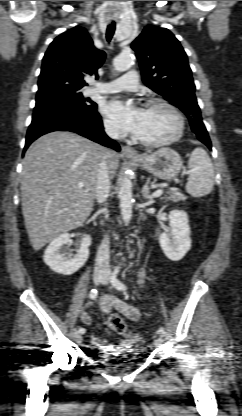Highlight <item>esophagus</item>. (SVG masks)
Instances as JSON below:
<instances>
[{"label":"esophagus","instance_id":"34e87169","mask_svg":"<svg viewBox=\"0 0 242 416\" xmlns=\"http://www.w3.org/2000/svg\"><path fill=\"white\" fill-rule=\"evenodd\" d=\"M122 153L126 156V157H130V158H139L140 155L137 153V151L130 147V146H123L122 147Z\"/></svg>","mask_w":242,"mask_h":416}]
</instances>
